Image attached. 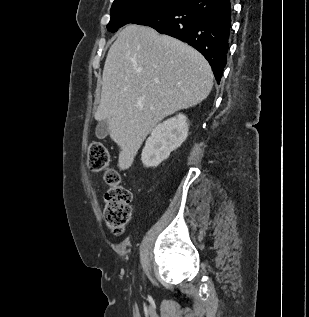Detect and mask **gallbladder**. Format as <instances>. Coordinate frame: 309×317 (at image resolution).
Segmentation results:
<instances>
[{
  "mask_svg": "<svg viewBox=\"0 0 309 317\" xmlns=\"http://www.w3.org/2000/svg\"><path fill=\"white\" fill-rule=\"evenodd\" d=\"M96 137L98 139H104L108 135V124L106 120L99 121L96 130H95Z\"/></svg>",
  "mask_w": 309,
  "mask_h": 317,
  "instance_id": "1",
  "label": "gallbladder"
}]
</instances>
